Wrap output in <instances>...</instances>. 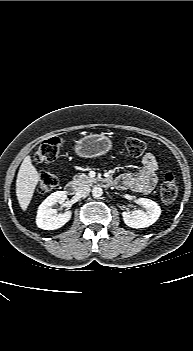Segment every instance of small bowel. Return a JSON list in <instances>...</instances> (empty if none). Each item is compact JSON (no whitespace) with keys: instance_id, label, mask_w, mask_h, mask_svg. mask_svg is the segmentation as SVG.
Here are the masks:
<instances>
[{"instance_id":"c3829d8e","label":"small bowel","mask_w":193,"mask_h":351,"mask_svg":"<svg viewBox=\"0 0 193 351\" xmlns=\"http://www.w3.org/2000/svg\"><path fill=\"white\" fill-rule=\"evenodd\" d=\"M158 162L152 153L142 158V167L135 173H124L117 179L118 186L140 194L150 193L157 183Z\"/></svg>"}]
</instances>
